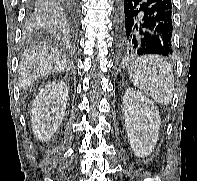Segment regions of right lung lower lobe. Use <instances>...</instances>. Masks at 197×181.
Segmentation results:
<instances>
[{
  "label": "right lung lower lobe",
  "instance_id": "right-lung-lower-lobe-1",
  "mask_svg": "<svg viewBox=\"0 0 197 181\" xmlns=\"http://www.w3.org/2000/svg\"><path fill=\"white\" fill-rule=\"evenodd\" d=\"M79 0H31V25L52 29L71 37L77 28Z\"/></svg>",
  "mask_w": 197,
  "mask_h": 181
}]
</instances>
